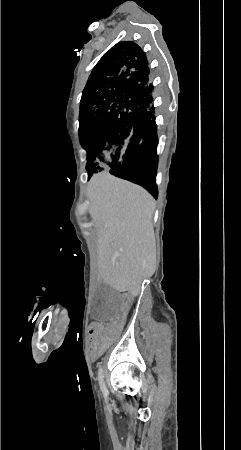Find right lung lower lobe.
I'll list each match as a JSON object with an SVG mask.
<instances>
[{"label": "right lung lower lobe", "mask_w": 241, "mask_h": 450, "mask_svg": "<svg viewBox=\"0 0 241 450\" xmlns=\"http://www.w3.org/2000/svg\"><path fill=\"white\" fill-rule=\"evenodd\" d=\"M148 95L146 101L148 109L145 116L133 122L129 128L143 134L141 143L135 146L127 155L117 162L110 173L143 186L154 197H157L156 173L158 166L157 156V125L155 122L154 108L150 106L152 98L150 93L153 90L151 80L147 84Z\"/></svg>", "instance_id": "98d812e1"}]
</instances>
